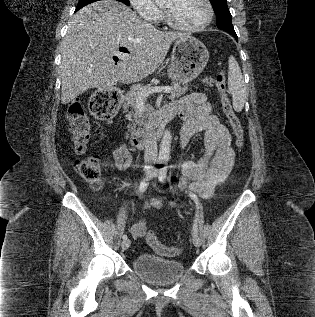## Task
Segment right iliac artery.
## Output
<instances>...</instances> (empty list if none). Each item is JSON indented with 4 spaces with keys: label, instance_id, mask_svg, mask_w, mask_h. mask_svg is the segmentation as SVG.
I'll return each instance as SVG.
<instances>
[{
    "label": "right iliac artery",
    "instance_id": "right-iliac-artery-1",
    "mask_svg": "<svg viewBox=\"0 0 315 317\" xmlns=\"http://www.w3.org/2000/svg\"><path fill=\"white\" fill-rule=\"evenodd\" d=\"M158 164H161L160 161H158ZM151 177V176H150ZM149 185V179H144L141 183H140V186H139V193L142 194L143 192H145V190L147 189ZM124 240L127 239V235L124 234L123 237H122Z\"/></svg>",
    "mask_w": 315,
    "mask_h": 317
}]
</instances>
